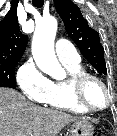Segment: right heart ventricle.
Returning a JSON list of instances; mask_svg holds the SVG:
<instances>
[{"label": "right heart ventricle", "instance_id": "e07e8e85", "mask_svg": "<svg viewBox=\"0 0 117 136\" xmlns=\"http://www.w3.org/2000/svg\"><path fill=\"white\" fill-rule=\"evenodd\" d=\"M63 64L66 67L69 75L84 71L79 62ZM45 104L50 107L61 109L75 114L88 113L80 106H78L73 100L70 92L68 78L65 80L51 82L50 91Z\"/></svg>", "mask_w": 117, "mask_h": 136}]
</instances>
